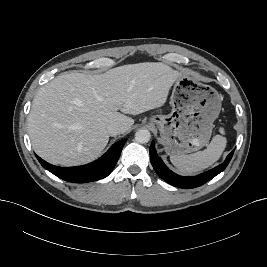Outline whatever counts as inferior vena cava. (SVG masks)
Segmentation results:
<instances>
[{"mask_svg": "<svg viewBox=\"0 0 267 267\" xmlns=\"http://www.w3.org/2000/svg\"><path fill=\"white\" fill-rule=\"evenodd\" d=\"M107 131L111 136H115L123 132V127L119 123H111L107 126Z\"/></svg>", "mask_w": 267, "mask_h": 267, "instance_id": "inferior-vena-cava-1", "label": "inferior vena cava"}]
</instances>
